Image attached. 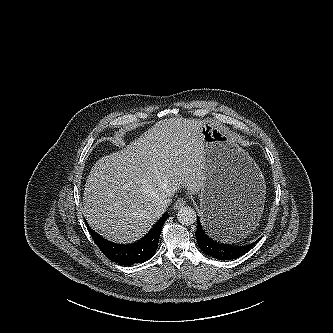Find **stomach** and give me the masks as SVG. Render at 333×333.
<instances>
[{
	"label": "stomach",
	"instance_id": "1",
	"mask_svg": "<svg viewBox=\"0 0 333 333\" xmlns=\"http://www.w3.org/2000/svg\"><path fill=\"white\" fill-rule=\"evenodd\" d=\"M205 168L200 211L208 234L237 242L252 234L261 217L266 184L255 161L222 128L201 127Z\"/></svg>",
	"mask_w": 333,
	"mask_h": 333
}]
</instances>
